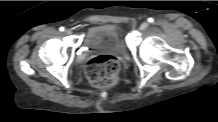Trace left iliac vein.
<instances>
[{"instance_id": "obj_1", "label": "left iliac vein", "mask_w": 218, "mask_h": 122, "mask_svg": "<svg viewBox=\"0 0 218 122\" xmlns=\"http://www.w3.org/2000/svg\"><path fill=\"white\" fill-rule=\"evenodd\" d=\"M148 26H149V24H148L147 22H143V23L140 25V29H141V30H145Z\"/></svg>"}]
</instances>
